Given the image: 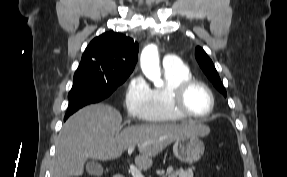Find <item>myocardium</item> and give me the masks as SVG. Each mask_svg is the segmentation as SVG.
Here are the masks:
<instances>
[{"label": "myocardium", "instance_id": "myocardium-1", "mask_svg": "<svg viewBox=\"0 0 287 177\" xmlns=\"http://www.w3.org/2000/svg\"><path fill=\"white\" fill-rule=\"evenodd\" d=\"M194 86H200L203 89L206 90V92L209 94L211 105L209 111L205 115H195L191 113L185 105V98L188 93V91L194 87ZM171 103L174 111L178 113L181 116L195 119V120H205L209 118L215 109V95L213 90L203 81L189 78L185 81L181 82L173 91L171 96Z\"/></svg>", "mask_w": 287, "mask_h": 177}]
</instances>
